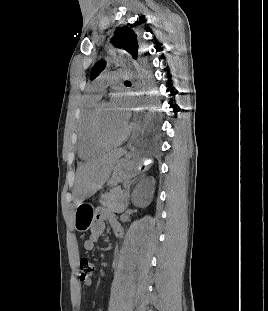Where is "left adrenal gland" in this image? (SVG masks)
I'll use <instances>...</instances> for the list:
<instances>
[{
	"label": "left adrenal gland",
	"instance_id": "1",
	"mask_svg": "<svg viewBox=\"0 0 268 311\" xmlns=\"http://www.w3.org/2000/svg\"><path fill=\"white\" fill-rule=\"evenodd\" d=\"M135 180H132L131 182L128 183V186H127V190L125 192V195L127 197V199L129 200L130 198V187L132 184H134ZM129 203H127V206H128Z\"/></svg>",
	"mask_w": 268,
	"mask_h": 311
}]
</instances>
